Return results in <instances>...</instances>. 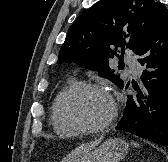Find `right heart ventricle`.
Instances as JSON below:
<instances>
[{"mask_svg": "<svg viewBox=\"0 0 168 162\" xmlns=\"http://www.w3.org/2000/svg\"><path fill=\"white\" fill-rule=\"evenodd\" d=\"M75 79L73 77L67 78L57 90L50 108V120L55 132L60 136H72L77 133L76 130L67 126L59 117L58 114V102L61 95L66 89L75 84Z\"/></svg>", "mask_w": 168, "mask_h": 162, "instance_id": "e07e8e85", "label": "right heart ventricle"}]
</instances>
